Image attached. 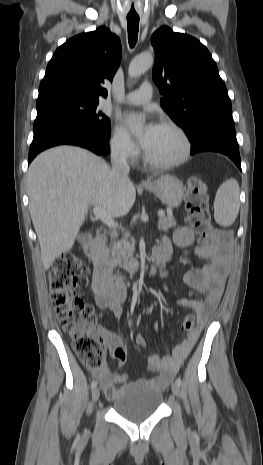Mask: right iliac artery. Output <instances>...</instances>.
I'll return each mask as SVG.
<instances>
[{"mask_svg": "<svg viewBox=\"0 0 263 465\" xmlns=\"http://www.w3.org/2000/svg\"><path fill=\"white\" fill-rule=\"evenodd\" d=\"M96 387H97V382H96V381H93V382L91 383V389L94 390Z\"/></svg>", "mask_w": 263, "mask_h": 465, "instance_id": "1", "label": "right iliac artery"}]
</instances>
